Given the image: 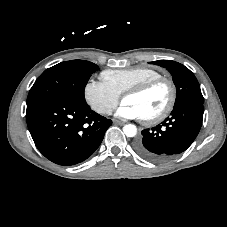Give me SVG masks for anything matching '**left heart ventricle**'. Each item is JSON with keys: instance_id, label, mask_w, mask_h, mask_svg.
Here are the masks:
<instances>
[{"instance_id": "obj_1", "label": "left heart ventricle", "mask_w": 227, "mask_h": 227, "mask_svg": "<svg viewBox=\"0 0 227 227\" xmlns=\"http://www.w3.org/2000/svg\"><path fill=\"white\" fill-rule=\"evenodd\" d=\"M169 100V88L166 84H159L148 92L138 96H127L124 103L135 106L142 118L152 117L160 113Z\"/></svg>"}]
</instances>
